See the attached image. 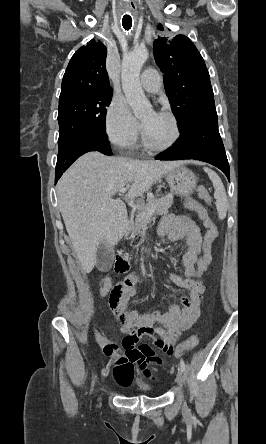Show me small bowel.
<instances>
[{
	"label": "small bowel",
	"mask_w": 266,
	"mask_h": 444,
	"mask_svg": "<svg viewBox=\"0 0 266 444\" xmlns=\"http://www.w3.org/2000/svg\"><path fill=\"white\" fill-rule=\"evenodd\" d=\"M159 232L162 235L167 234L172 242L185 240L186 250L180 261L185 277L170 272L169 278L176 286L190 290V295L182 297L180 303L172 301L167 311H158L152 315L136 314L123 307L113 308L112 311L126 334L121 354L118 353L116 345L95 331L96 341L104 349L105 354L112 355L117 360L113 374L115 380L122 386L131 383L135 365L143 369L148 364L161 363V359L155 355L152 347L148 345L135 347L142 337L153 338L157 349L166 355H174L180 333L192 327L200 316V304L205 287L202 280H191L201 252L199 228L187 216L167 215L160 225ZM127 279L133 284L134 294L140 276L133 274ZM111 287V279H104L99 285V296H107Z\"/></svg>",
	"instance_id": "small-bowel-1"
}]
</instances>
